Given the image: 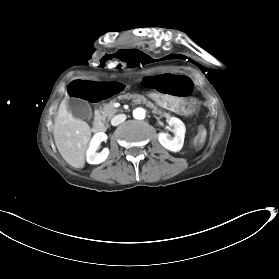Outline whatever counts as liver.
I'll list each match as a JSON object with an SVG mask.
<instances>
[{"label":"liver","instance_id":"1","mask_svg":"<svg viewBox=\"0 0 279 279\" xmlns=\"http://www.w3.org/2000/svg\"><path fill=\"white\" fill-rule=\"evenodd\" d=\"M53 136L63 159L75 168H82L91 129L85 121L73 117L67 110V96L61 101L55 117Z\"/></svg>","mask_w":279,"mask_h":279}]
</instances>
